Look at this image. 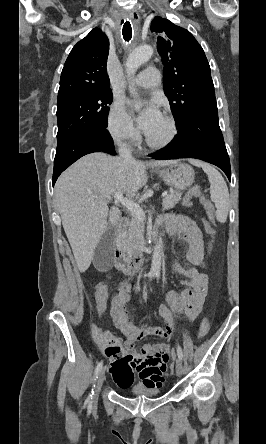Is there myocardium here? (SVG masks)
Returning <instances> with one entry per match:
<instances>
[{"label":"myocardium","mask_w":266,"mask_h":444,"mask_svg":"<svg viewBox=\"0 0 266 444\" xmlns=\"http://www.w3.org/2000/svg\"><path fill=\"white\" fill-rule=\"evenodd\" d=\"M165 119L168 121L170 126V133L167 138L161 142L153 141L147 134H145L146 144L153 149H163L168 147L176 138L178 133L177 123L174 117L170 114L164 115Z\"/></svg>","instance_id":"obj_1"}]
</instances>
